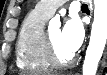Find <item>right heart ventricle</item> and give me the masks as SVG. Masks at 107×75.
I'll return each instance as SVG.
<instances>
[{
	"label": "right heart ventricle",
	"instance_id": "e07e8e85",
	"mask_svg": "<svg viewBox=\"0 0 107 75\" xmlns=\"http://www.w3.org/2000/svg\"><path fill=\"white\" fill-rule=\"evenodd\" d=\"M47 18L36 10L24 19L16 42V64L26 71L46 72L51 65L46 58L44 25Z\"/></svg>",
	"mask_w": 107,
	"mask_h": 75
}]
</instances>
